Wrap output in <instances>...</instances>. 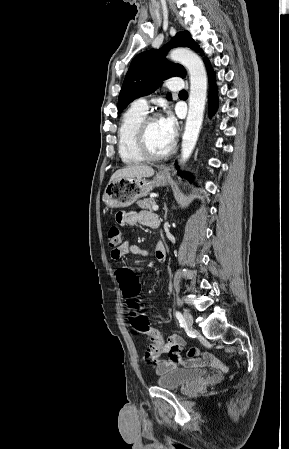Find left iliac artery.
Instances as JSON below:
<instances>
[{
  "mask_svg": "<svg viewBox=\"0 0 289 449\" xmlns=\"http://www.w3.org/2000/svg\"><path fill=\"white\" fill-rule=\"evenodd\" d=\"M175 315H176V318L178 319L181 327L186 326V321H185L183 315L180 312H178V311H176Z\"/></svg>",
  "mask_w": 289,
  "mask_h": 449,
  "instance_id": "left-iliac-artery-1",
  "label": "left iliac artery"
}]
</instances>
